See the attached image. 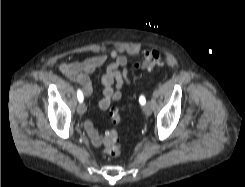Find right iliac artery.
<instances>
[{
  "mask_svg": "<svg viewBox=\"0 0 245 187\" xmlns=\"http://www.w3.org/2000/svg\"><path fill=\"white\" fill-rule=\"evenodd\" d=\"M77 98L79 102H83L84 97L80 89L77 91Z\"/></svg>",
  "mask_w": 245,
  "mask_h": 187,
  "instance_id": "right-iliac-artery-1",
  "label": "right iliac artery"
}]
</instances>
